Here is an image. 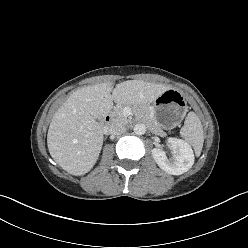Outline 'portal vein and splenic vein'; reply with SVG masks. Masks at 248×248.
<instances>
[{"label":"portal vein and splenic vein","instance_id":"obj_1","mask_svg":"<svg viewBox=\"0 0 248 248\" xmlns=\"http://www.w3.org/2000/svg\"><path fill=\"white\" fill-rule=\"evenodd\" d=\"M131 111H132L131 108L125 107L123 110V115L127 117L131 114Z\"/></svg>","mask_w":248,"mask_h":248}]
</instances>
